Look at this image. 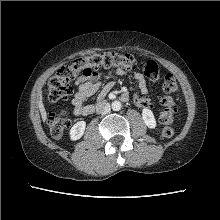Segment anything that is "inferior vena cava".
I'll return each instance as SVG.
<instances>
[{
  "label": "inferior vena cava",
  "mask_w": 220,
  "mask_h": 220,
  "mask_svg": "<svg viewBox=\"0 0 220 220\" xmlns=\"http://www.w3.org/2000/svg\"><path fill=\"white\" fill-rule=\"evenodd\" d=\"M97 112L107 114L108 112H110V105L108 103L99 105L97 108Z\"/></svg>",
  "instance_id": "602c4592"
}]
</instances>
